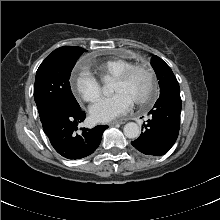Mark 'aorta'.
<instances>
[{"mask_svg":"<svg viewBox=\"0 0 220 220\" xmlns=\"http://www.w3.org/2000/svg\"><path fill=\"white\" fill-rule=\"evenodd\" d=\"M108 88L109 86H105L104 92H107L109 90ZM123 132L127 138L135 139L139 137L141 131L137 123L129 122L124 126Z\"/></svg>","mask_w":220,"mask_h":220,"instance_id":"aorta-1","label":"aorta"}]
</instances>
